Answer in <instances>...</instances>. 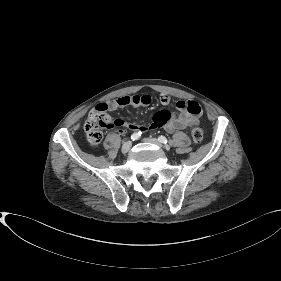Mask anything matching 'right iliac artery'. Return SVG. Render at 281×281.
<instances>
[{
  "label": "right iliac artery",
  "mask_w": 281,
  "mask_h": 281,
  "mask_svg": "<svg viewBox=\"0 0 281 281\" xmlns=\"http://www.w3.org/2000/svg\"><path fill=\"white\" fill-rule=\"evenodd\" d=\"M140 136H141V133H133L131 135V139L134 141V140L139 139Z\"/></svg>",
  "instance_id": "82829eb1"
}]
</instances>
